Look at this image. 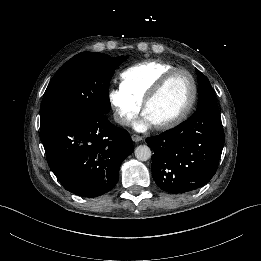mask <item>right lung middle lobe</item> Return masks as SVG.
<instances>
[{
    "label": "right lung middle lobe",
    "instance_id": "dd1d6c3e",
    "mask_svg": "<svg viewBox=\"0 0 261 261\" xmlns=\"http://www.w3.org/2000/svg\"><path fill=\"white\" fill-rule=\"evenodd\" d=\"M127 59L83 52L67 61L50 81L40 106V126L67 116L107 114L109 83L115 69Z\"/></svg>",
    "mask_w": 261,
    "mask_h": 261
}]
</instances>
